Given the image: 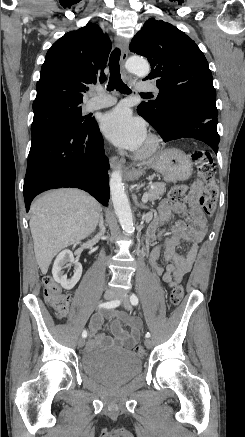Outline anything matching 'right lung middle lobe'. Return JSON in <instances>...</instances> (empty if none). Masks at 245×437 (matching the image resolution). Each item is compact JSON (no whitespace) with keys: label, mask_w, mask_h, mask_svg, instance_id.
Here are the masks:
<instances>
[{"label":"right lung middle lobe","mask_w":245,"mask_h":437,"mask_svg":"<svg viewBox=\"0 0 245 437\" xmlns=\"http://www.w3.org/2000/svg\"><path fill=\"white\" fill-rule=\"evenodd\" d=\"M81 107V104L56 102L33 108L32 136L52 124L72 129H82L90 126L94 119L83 116Z\"/></svg>","instance_id":"dd1d6c3e"}]
</instances>
